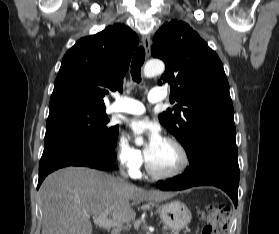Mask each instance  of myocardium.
Wrapping results in <instances>:
<instances>
[{"mask_svg":"<svg viewBox=\"0 0 279 234\" xmlns=\"http://www.w3.org/2000/svg\"><path fill=\"white\" fill-rule=\"evenodd\" d=\"M164 141L171 143L176 147L180 155L179 165L170 172H158L150 165L147 153L145 154V166L148 174L157 180H170L179 177L182 175L189 166V154L185 146L175 137L167 136L163 138Z\"/></svg>","mask_w":279,"mask_h":234,"instance_id":"obj_1","label":"myocardium"}]
</instances>
